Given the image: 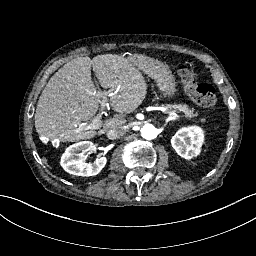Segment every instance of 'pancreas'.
<instances>
[{"label":"pancreas","instance_id":"1","mask_svg":"<svg viewBox=\"0 0 256 256\" xmlns=\"http://www.w3.org/2000/svg\"><path fill=\"white\" fill-rule=\"evenodd\" d=\"M167 108L171 109V108H174V109H178L182 112L185 113V117L187 118H193L195 116H197L196 113H194V109H189L188 108V105L186 104H179V105H166ZM201 122H205L206 120L204 118L200 119Z\"/></svg>","mask_w":256,"mask_h":256}]
</instances>
